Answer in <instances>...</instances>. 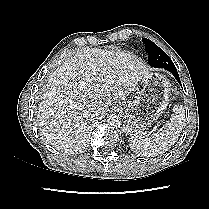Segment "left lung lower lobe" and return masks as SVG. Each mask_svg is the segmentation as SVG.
Segmentation results:
<instances>
[{
  "label": "left lung lower lobe",
  "instance_id": "0a47b994",
  "mask_svg": "<svg viewBox=\"0 0 209 209\" xmlns=\"http://www.w3.org/2000/svg\"><path fill=\"white\" fill-rule=\"evenodd\" d=\"M168 71H170L174 75V77L176 78V80L181 84L180 78H179V75H178V72H177V69L176 68H174V69H168Z\"/></svg>",
  "mask_w": 209,
  "mask_h": 209
}]
</instances>
